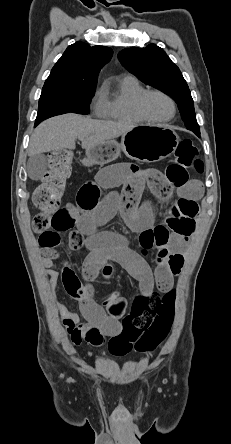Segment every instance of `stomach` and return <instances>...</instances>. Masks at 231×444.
Returning <instances> with one entry per match:
<instances>
[{
	"instance_id": "stomach-1",
	"label": "stomach",
	"mask_w": 231,
	"mask_h": 444,
	"mask_svg": "<svg viewBox=\"0 0 231 444\" xmlns=\"http://www.w3.org/2000/svg\"><path fill=\"white\" fill-rule=\"evenodd\" d=\"M178 143V135L168 126L138 125L122 135L120 144L110 140L87 150L83 163L87 166L109 163L120 156L121 150L131 159L156 162L170 156Z\"/></svg>"
}]
</instances>
